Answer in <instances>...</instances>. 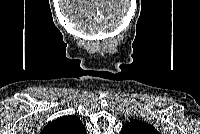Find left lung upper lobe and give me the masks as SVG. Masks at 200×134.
Masks as SVG:
<instances>
[{
    "label": "left lung upper lobe",
    "mask_w": 200,
    "mask_h": 134,
    "mask_svg": "<svg viewBox=\"0 0 200 134\" xmlns=\"http://www.w3.org/2000/svg\"><path fill=\"white\" fill-rule=\"evenodd\" d=\"M122 134H159V132L150 124L134 120L122 128Z\"/></svg>",
    "instance_id": "left-lung-upper-lobe-1"
}]
</instances>
